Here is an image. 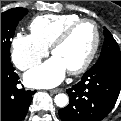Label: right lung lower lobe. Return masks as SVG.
I'll return each instance as SVG.
<instances>
[{"instance_id": "obj_1", "label": "right lung lower lobe", "mask_w": 121, "mask_h": 121, "mask_svg": "<svg viewBox=\"0 0 121 121\" xmlns=\"http://www.w3.org/2000/svg\"><path fill=\"white\" fill-rule=\"evenodd\" d=\"M14 70L11 62L1 61V121L23 120L36 92L18 89L20 81Z\"/></svg>"}]
</instances>
